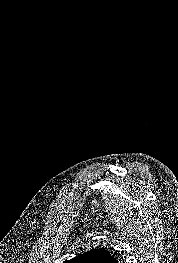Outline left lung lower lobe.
Instances as JSON below:
<instances>
[{"label":"left lung lower lobe","instance_id":"obj_1","mask_svg":"<svg viewBox=\"0 0 178 263\" xmlns=\"http://www.w3.org/2000/svg\"><path fill=\"white\" fill-rule=\"evenodd\" d=\"M111 263H118V261L116 259H114Z\"/></svg>","mask_w":178,"mask_h":263}]
</instances>
